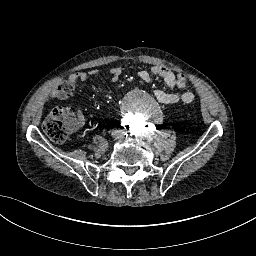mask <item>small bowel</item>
<instances>
[{
    "label": "small bowel",
    "instance_id": "c3829d8e",
    "mask_svg": "<svg viewBox=\"0 0 256 256\" xmlns=\"http://www.w3.org/2000/svg\"><path fill=\"white\" fill-rule=\"evenodd\" d=\"M100 74L99 70H90L87 72H78L76 74H73L71 79L75 81H81L85 82L90 77L98 76ZM109 74L111 76V80L113 82L118 81L122 74V68L121 67H112L109 69ZM152 75L160 77L165 85L173 89L176 87V80L179 77H176L175 73L168 67L162 66V65H156L151 68V71H140L138 73L139 78L149 83L152 80ZM154 95L156 99L162 103V104H173L178 102L179 100H182L184 103L189 104L193 102L194 100V93L192 91H185L181 95L173 92H167L165 90L157 89L154 92ZM53 96H55V92L53 93Z\"/></svg>",
    "mask_w": 256,
    "mask_h": 256
}]
</instances>
